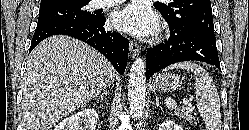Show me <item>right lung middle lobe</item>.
<instances>
[{
	"mask_svg": "<svg viewBox=\"0 0 249 130\" xmlns=\"http://www.w3.org/2000/svg\"><path fill=\"white\" fill-rule=\"evenodd\" d=\"M88 3L89 1H83L69 7L40 9L37 27L64 22L90 21L95 18V15L85 10L84 7Z\"/></svg>",
	"mask_w": 249,
	"mask_h": 130,
	"instance_id": "right-lung-middle-lobe-1",
	"label": "right lung middle lobe"
}]
</instances>
